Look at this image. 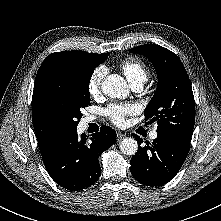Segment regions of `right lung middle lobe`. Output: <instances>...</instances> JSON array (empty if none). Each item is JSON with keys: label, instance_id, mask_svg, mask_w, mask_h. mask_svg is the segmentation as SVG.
Listing matches in <instances>:
<instances>
[{"label": "right lung middle lobe", "instance_id": "dd1d6c3e", "mask_svg": "<svg viewBox=\"0 0 221 221\" xmlns=\"http://www.w3.org/2000/svg\"><path fill=\"white\" fill-rule=\"evenodd\" d=\"M108 55L64 62L47 70L34 84L33 92L45 113L66 130L77 128L81 110L90 105V78Z\"/></svg>", "mask_w": 221, "mask_h": 221}]
</instances>
